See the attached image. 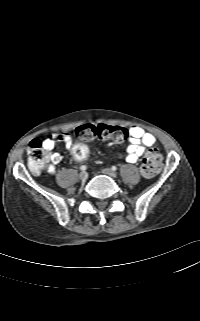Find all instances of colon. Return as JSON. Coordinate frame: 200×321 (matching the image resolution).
<instances>
[{
  "mask_svg": "<svg viewBox=\"0 0 200 321\" xmlns=\"http://www.w3.org/2000/svg\"><path fill=\"white\" fill-rule=\"evenodd\" d=\"M75 136L83 141L92 140H112L115 142H123L127 136V130L118 126H109L104 124L98 125H82L75 130ZM28 164L30 170L38 174L47 164L48 155L44 149L43 142L34 139L30 142L28 149ZM70 155L76 162H83L88 159L89 146L86 143H75L70 146ZM162 167V156L154 148L148 149L144 155L141 164V173L146 178L154 177Z\"/></svg>",
  "mask_w": 200,
  "mask_h": 321,
  "instance_id": "1",
  "label": "colon"
}]
</instances>
